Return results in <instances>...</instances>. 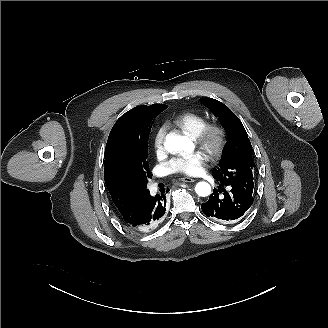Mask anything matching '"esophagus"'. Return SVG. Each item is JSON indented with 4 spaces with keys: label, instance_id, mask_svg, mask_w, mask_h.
<instances>
[{
    "label": "esophagus",
    "instance_id": "1",
    "mask_svg": "<svg viewBox=\"0 0 328 328\" xmlns=\"http://www.w3.org/2000/svg\"><path fill=\"white\" fill-rule=\"evenodd\" d=\"M179 181L182 182H194L195 180L189 177H183V178H179Z\"/></svg>",
    "mask_w": 328,
    "mask_h": 328
}]
</instances>
